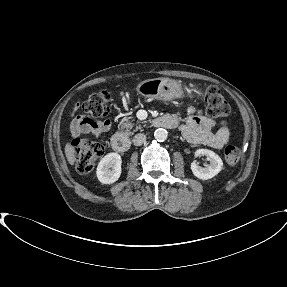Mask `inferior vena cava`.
<instances>
[{"label": "inferior vena cava", "instance_id": "inferior-vena-cava-1", "mask_svg": "<svg viewBox=\"0 0 287 287\" xmlns=\"http://www.w3.org/2000/svg\"><path fill=\"white\" fill-rule=\"evenodd\" d=\"M145 141H146V135L141 134V133L136 134V135L133 137V140H132V142H133V144H134L135 146H140V145H142Z\"/></svg>", "mask_w": 287, "mask_h": 287}]
</instances>
